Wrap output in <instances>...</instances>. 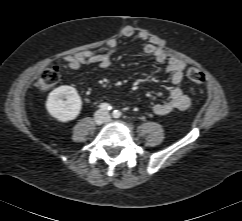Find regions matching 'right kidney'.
Wrapping results in <instances>:
<instances>
[{
    "label": "right kidney",
    "instance_id": "ca27d5eb",
    "mask_svg": "<svg viewBox=\"0 0 242 221\" xmlns=\"http://www.w3.org/2000/svg\"><path fill=\"white\" fill-rule=\"evenodd\" d=\"M82 101L75 88L60 86L50 92L46 109L49 114L60 122L74 120L80 113Z\"/></svg>",
    "mask_w": 242,
    "mask_h": 221
}]
</instances>
